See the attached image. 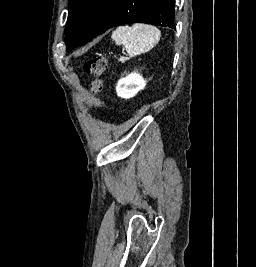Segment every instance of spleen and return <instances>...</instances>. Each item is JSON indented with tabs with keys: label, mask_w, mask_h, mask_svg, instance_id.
<instances>
[{
	"label": "spleen",
	"mask_w": 256,
	"mask_h": 267,
	"mask_svg": "<svg viewBox=\"0 0 256 267\" xmlns=\"http://www.w3.org/2000/svg\"><path fill=\"white\" fill-rule=\"evenodd\" d=\"M161 32L156 26L148 24H133V26H119L112 32V40L117 46H124L130 58L150 52L160 40Z\"/></svg>",
	"instance_id": "1"
}]
</instances>
